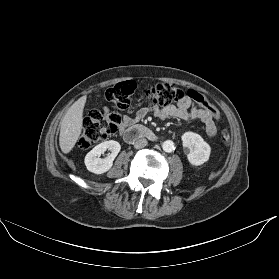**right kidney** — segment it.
Listing matches in <instances>:
<instances>
[{
    "mask_svg": "<svg viewBox=\"0 0 279 279\" xmlns=\"http://www.w3.org/2000/svg\"><path fill=\"white\" fill-rule=\"evenodd\" d=\"M110 150L111 153L105 158H100L106 150ZM121 150V146L117 141L109 140L96 145L85 156V165L88 171L95 174H103L107 172L113 165L115 157Z\"/></svg>",
    "mask_w": 279,
    "mask_h": 279,
    "instance_id": "right-kidney-1",
    "label": "right kidney"
}]
</instances>
